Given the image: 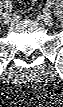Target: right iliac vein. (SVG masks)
I'll return each mask as SVG.
<instances>
[{
  "label": "right iliac vein",
  "instance_id": "63e3f726",
  "mask_svg": "<svg viewBox=\"0 0 63 107\" xmlns=\"http://www.w3.org/2000/svg\"><path fill=\"white\" fill-rule=\"evenodd\" d=\"M11 16L9 14H5L3 17L4 24H9L11 22Z\"/></svg>",
  "mask_w": 63,
  "mask_h": 107
}]
</instances>
